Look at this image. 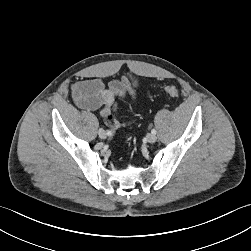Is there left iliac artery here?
Instances as JSON below:
<instances>
[{
    "label": "left iliac artery",
    "instance_id": "obj_1",
    "mask_svg": "<svg viewBox=\"0 0 251 251\" xmlns=\"http://www.w3.org/2000/svg\"><path fill=\"white\" fill-rule=\"evenodd\" d=\"M156 132H157V131H156L155 129H152V130H151V133H153V134H156Z\"/></svg>",
    "mask_w": 251,
    "mask_h": 251
}]
</instances>
